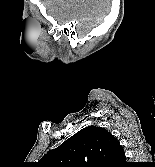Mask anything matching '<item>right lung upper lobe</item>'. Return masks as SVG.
Returning <instances> with one entry per match:
<instances>
[{
	"instance_id": "right-lung-upper-lobe-1",
	"label": "right lung upper lobe",
	"mask_w": 155,
	"mask_h": 167,
	"mask_svg": "<svg viewBox=\"0 0 155 167\" xmlns=\"http://www.w3.org/2000/svg\"><path fill=\"white\" fill-rule=\"evenodd\" d=\"M125 160L123 148L110 132L88 126L40 161L44 167H121Z\"/></svg>"
}]
</instances>
